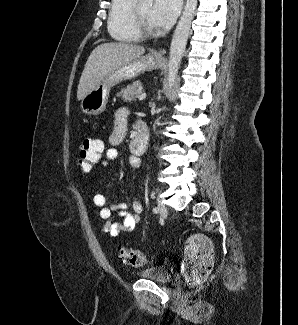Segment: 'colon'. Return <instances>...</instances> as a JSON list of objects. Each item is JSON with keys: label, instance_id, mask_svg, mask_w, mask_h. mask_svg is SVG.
I'll return each instance as SVG.
<instances>
[{"label": "colon", "instance_id": "5ec220e1", "mask_svg": "<svg viewBox=\"0 0 298 325\" xmlns=\"http://www.w3.org/2000/svg\"><path fill=\"white\" fill-rule=\"evenodd\" d=\"M103 143L96 138L86 137L80 147L78 167L82 173L90 172L100 160ZM120 257L124 263L139 267L147 262L146 255L136 249L123 248ZM213 268V248L204 235L194 233L188 236L183 260V273L186 280L194 285L203 283Z\"/></svg>", "mask_w": 298, "mask_h": 325}]
</instances>
